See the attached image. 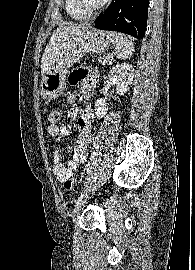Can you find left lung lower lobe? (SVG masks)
Instances as JSON below:
<instances>
[{
    "instance_id": "obj_1",
    "label": "left lung lower lobe",
    "mask_w": 195,
    "mask_h": 270,
    "mask_svg": "<svg viewBox=\"0 0 195 270\" xmlns=\"http://www.w3.org/2000/svg\"><path fill=\"white\" fill-rule=\"evenodd\" d=\"M149 0H113L100 15L95 26L101 30L129 34L143 38L147 26Z\"/></svg>"
}]
</instances>
